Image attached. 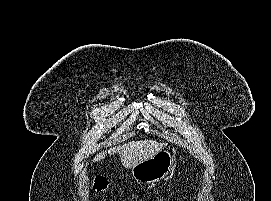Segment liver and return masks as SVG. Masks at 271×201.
Returning <instances> with one entry per match:
<instances>
[{"label": "liver", "instance_id": "6515ba94", "mask_svg": "<svg viewBox=\"0 0 271 201\" xmlns=\"http://www.w3.org/2000/svg\"><path fill=\"white\" fill-rule=\"evenodd\" d=\"M167 143H161L156 140L145 139L141 141H130L110 148L108 151L100 152L93 161L98 162L105 158L107 153L118 152L121 162L125 168H132L141 161L153 157L156 153L162 151Z\"/></svg>", "mask_w": 271, "mask_h": 201}]
</instances>
